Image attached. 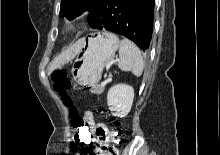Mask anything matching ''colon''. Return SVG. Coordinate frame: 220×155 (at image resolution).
Returning a JSON list of instances; mask_svg holds the SVG:
<instances>
[{"label":"colon","mask_w":220,"mask_h":155,"mask_svg":"<svg viewBox=\"0 0 220 155\" xmlns=\"http://www.w3.org/2000/svg\"><path fill=\"white\" fill-rule=\"evenodd\" d=\"M54 90L63 98L64 104L69 108V116L74 130L75 144H93L86 150L85 155H117V145L121 144L122 133H110L109 128L99 125L95 140L91 135L89 124L78 114L72 100L67 96V91L72 87L73 81L66 69H57L51 74ZM93 142V143H92Z\"/></svg>","instance_id":"colon-1"}]
</instances>
